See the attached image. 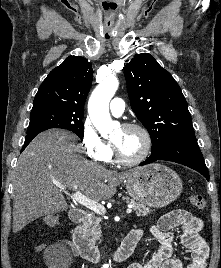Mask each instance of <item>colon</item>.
<instances>
[{"label": "colon", "instance_id": "obj_1", "mask_svg": "<svg viewBox=\"0 0 221 268\" xmlns=\"http://www.w3.org/2000/svg\"><path fill=\"white\" fill-rule=\"evenodd\" d=\"M191 204L199 210H205L207 207L206 200L201 195H192L189 197ZM59 216L56 214L48 215L44 218V224L49 228H54L59 225Z\"/></svg>", "mask_w": 221, "mask_h": 268}]
</instances>
